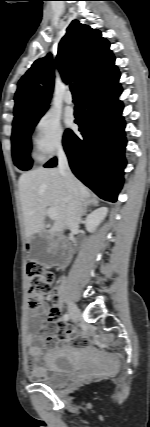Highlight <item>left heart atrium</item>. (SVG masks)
Here are the masks:
<instances>
[{
  "mask_svg": "<svg viewBox=\"0 0 150 427\" xmlns=\"http://www.w3.org/2000/svg\"><path fill=\"white\" fill-rule=\"evenodd\" d=\"M67 124L71 125L72 124V119L70 117L67 118Z\"/></svg>",
  "mask_w": 150,
  "mask_h": 427,
  "instance_id": "39dd6f15",
  "label": "left heart atrium"
}]
</instances>
